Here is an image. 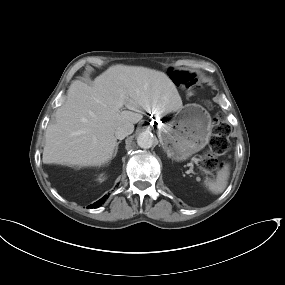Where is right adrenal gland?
Masks as SVG:
<instances>
[{
  "mask_svg": "<svg viewBox=\"0 0 285 285\" xmlns=\"http://www.w3.org/2000/svg\"><path fill=\"white\" fill-rule=\"evenodd\" d=\"M120 143H121V141H118V142L116 143V147H115V151H114L113 157L116 156V154H117V152H118V146H119Z\"/></svg>",
  "mask_w": 285,
  "mask_h": 285,
  "instance_id": "obj_1",
  "label": "right adrenal gland"
}]
</instances>
